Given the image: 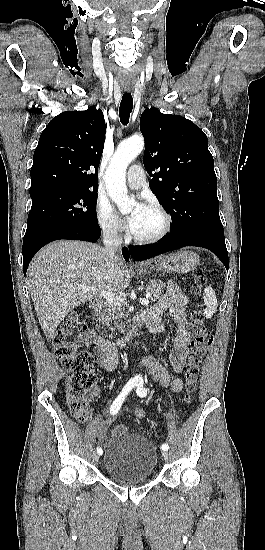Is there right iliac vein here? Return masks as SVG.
I'll return each instance as SVG.
<instances>
[{"label":"right iliac vein","mask_w":265,"mask_h":550,"mask_svg":"<svg viewBox=\"0 0 265 550\" xmlns=\"http://www.w3.org/2000/svg\"><path fill=\"white\" fill-rule=\"evenodd\" d=\"M92 458H93V461H97L99 457L96 453H93Z\"/></svg>","instance_id":"obj_1"}]
</instances>
